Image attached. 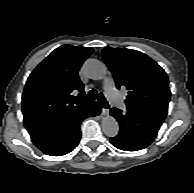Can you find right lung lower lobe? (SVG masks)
I'll list each match as a JSON object with an SVG mask.
<instances>
[{"mask_svg":"<svg viewBox=\"0 0 194 193\" xmlns=\"http://www.w3.org/2000/svg\"><path fill=\"white\" fill-rule=\"evenodd\" d=\"M101 107L90 102L80 109L57 119L26 127L37 148L51 156H61L71 152L81 137L80 124L87 117L99 115Z\"/></svg>","mask_w":194,"mask_h":193,"instance_id":"right-lung-lower-lobe-1","label":"right lung lower lobe"}]
</instances>
